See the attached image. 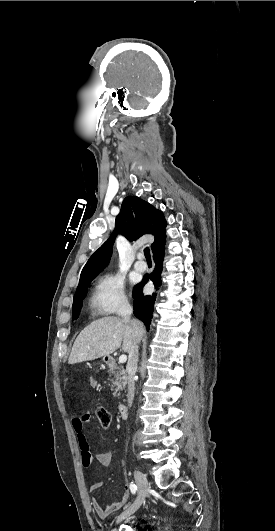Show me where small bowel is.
<instances>
[{
  "label": "small bowel",
  "mask_w": 275,
  "mask_h": 531,
  "mask_svg": "<svg viewBox=\"0 0 275 531\" xmlns=\"http://www.w3.org/2000/svg\"><path fill=\"white\" fill-rule=\"evenodd\" d=\"M87 381L89 382L88 388L90 391L95 392L98 390L99 385L97 382H95L96 376L94 374H89L87 376ZM89 419V414L83 413L77 417H74L71 421L72 428L77 434L79 446L82 449V463L84 464V462L87 460V463L90 465L92 461L95 460L102 465H107L111 460V453L109 451L94 454L91 452H84V449H89V443L85 434V426L89 422ZM87 454L89 455L88 459H86ZM102 485L103 483L101 481H95L89 486V491L94 493L98 491ZM129 498L130 490L128 487H125L119 498L110 506H101L98 500L94 497L90 499V506L100 519L105 520L110 516V514L121 509L128 502Z\"/></svg>",
  "instance_id": "obj_1"
}]
</instances>
